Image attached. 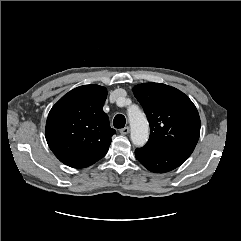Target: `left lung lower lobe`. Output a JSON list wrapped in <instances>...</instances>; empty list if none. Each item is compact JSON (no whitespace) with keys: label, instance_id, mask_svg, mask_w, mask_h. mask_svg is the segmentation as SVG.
Masks as SVG:
<instances>
[{"label":"left lung lower lobe","instance_id":"0a47b994","mask_svg":"<svg viewBox=\"0 0 241 241\" xmlns=\"http://www.w3.org/2000/svg\"><path fill=\"white\" fill-rule=\"evenodd\" d=\"M190 155L188 151L158 149L147 145L135 150L136 159L155 173H164L179 167Z\"/></svg>","mask_w":241,"mask_h":241}]
</instances>
